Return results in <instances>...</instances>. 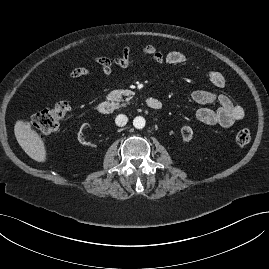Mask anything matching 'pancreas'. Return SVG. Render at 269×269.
<instances>
[{"label":"pancreas","mask_w":269,"mask_h":269,"mask_svg":"<svg viewBox=\"0 0 269 269\" xmlns=\"http://www.w3.org/2000/svg\"><path fill=\"white\" fill-rule=\"evenodd\" d=\"M135 93L131 90H122V89H119V90H113L111 91L108 95H107V98L109 100H112V101H121L123 100L122 99V96H127V98L125 99L126 102H128L129 100H131L133 97H134Z\"/></svg>","instance_id":"cf45deb5"}]
</instances>
